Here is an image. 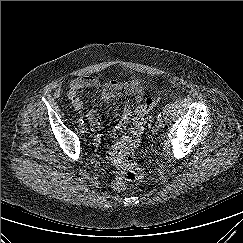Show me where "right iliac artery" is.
Wrapping results in <instances>:
<instances>
[{"label": "right iliac artery", "mask_w": 243, "mask_h": 243, "mask_svg": "<svg viewBox=\"0 0 243 243\" xmlns=\"http://www.w3.org/2000/svg\"><path fill=\"white\" fill-rule=\"evenodd\" d=\"M78 123L82 125L84 123V121L82 119H79Z\"/></svg>", "instance_id": "82829eb1"}]
</instances>
